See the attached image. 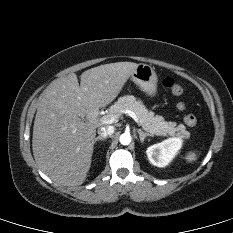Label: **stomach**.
Instances as JSON below:
<instances>
[{"instance_id":"obj_1","label":"stomach","mask_w":233,"mask_h":233,"mask_svg":"<svg viewBox=\"0 0 233 233\" xmlns=\"http://www.w3.org/2000/svg\"><path fill=\"white\" fill-rule=\"evenodd\" d=\"M132 81L147 95L154 97L157 93V75L154 69L140 63L131 75Z\"/></svg>"}]
</instances>
